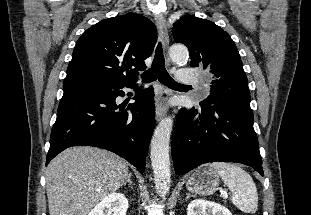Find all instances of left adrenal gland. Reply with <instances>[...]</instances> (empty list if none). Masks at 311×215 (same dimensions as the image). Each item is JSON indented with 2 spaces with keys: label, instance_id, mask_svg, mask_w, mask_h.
Returning a JSON list of instances; mask_svg holds the SVG:
<instances>
[{
  "label": "left adrenal gland",
  "instance_id": "obj_1",
  "mask_svg": "<svg viewBox=\"0 0 311 215\" xmlns=\"http://www.w3.org/2000/svg\"><path fill=\"white\" fill-rule=\"evenodd\" d=\"M190 197H191V194H187V197H186V198L188 199V198H190Z\"/></svg>",
  "mask_w": 311,
  "mask_h": 215
}]
</instances>
